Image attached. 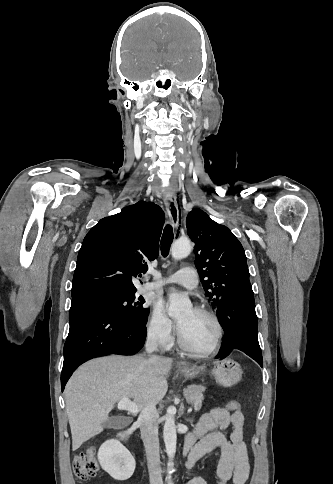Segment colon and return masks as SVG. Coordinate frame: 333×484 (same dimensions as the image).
I'll return each instance as SVG.
<instances>
[{"instance_id":"1","label":"colon","mask_w":333,"mask_h":484,"mask_svg":"<svg viewBox=\"0 0 333 484\" xmlns=\"http://www.w3.org/2000/svg\"><path fill=\"white\" fill-rule=\"evenodd\" d=\"M225 409L230 411H240L241 403L237 400L228 402ZM99 470V464L94 447L88 448L84 452H80L74 456L73 471L75 476L80 480H89L96 476Z\"/></svg>"}]
</instances>
